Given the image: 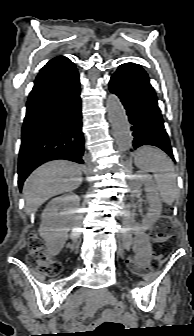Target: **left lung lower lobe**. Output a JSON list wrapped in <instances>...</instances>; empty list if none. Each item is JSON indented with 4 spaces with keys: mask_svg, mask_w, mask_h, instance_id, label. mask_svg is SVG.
I'll list each match as a JSON object with an SVG mask.
<instances>
[{
    "mask_svg": "<svg viewBox=\"0 0 194 336\" xmlns=\"http://www.w3.org/2000/svg\"><path fill=\"white\" fill-rule=\"evenodd\" d=\"M109 88L126 109L132 124L133 148L156 146L174 160L157 96L144 69L135 63L122 64L112 75Z\"/></svg>",
    "mask_w": 194,
    "mask_h": 336,
    "instance_id": "obj_1",
    "label": "left lung lower lobe"
}]
</instances>
